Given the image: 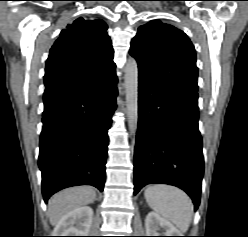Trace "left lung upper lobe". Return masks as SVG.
I'll return each mask as SVG.
<instances>
[{
	"instance_id": "left-lung-upper-lobe-1",
	"label": "left lung upper lobe",
	"mask_w": 248,
	"mask_h": 237,
	"mask_svg": "<svg viewBox=\"0 0 248 237\" xmlns=\"http://www.w3.org/2000/svg\"><path fill=\"white\" fill-rule=\"evenodd\" d=\"M130 54L138 62L139 75L165 88L198 91L194 46L174 26L160 20L140 26Z\"/></svg>"
}]
</instances>
